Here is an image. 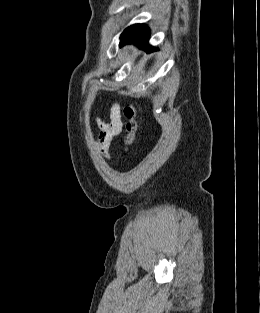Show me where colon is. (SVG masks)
Here are the masks:
<instances>
[{
  "label": "colon",
  "mask_w": 260,
  "mask_h": 313,
  "mask_svg": "<svg viewBox=\"0 0 260 313\" xmlns=\"http://www.w3.org/2000/svg\"><path fill=\"white\" fill-rule=\"evenodd\" d=\"M123 118L125 120L123 145L129 147L134 143L139 131L137 108L134 104H129L123 108Z\"/></svg>",
  "instance_id": "obj_1"
}]
</instances>
